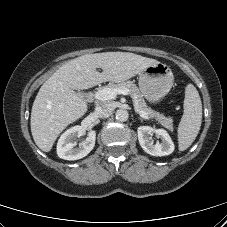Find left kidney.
I'll list each match as a JSON object with an SVG mask.
<instances>
[{"label":"left kidney","mask_w":227,"mask_h":227,"mask_svg":"<svg viewBox=\"0 0 227 227\" xmlns=\"http://www.w3.org/2000/svg\"><path fill=\"white\" fill-rule=\"evenodd\" d=\"M138 140L142 149L152 156H166L174 151V143L164 129H153L150 126H140L137 129ZM155 133L161 142L153 143L151 136Z\"/></svg>","instance_id":"left-kidney-1"}]
</instances>
